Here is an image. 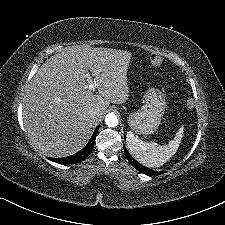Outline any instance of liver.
I'll return each instance as SVG.
<instances>
[{
	"instance_id": "obj_1",
	"label": "liver",
	"mask_w": 225,
	"mask_h": 225,
	"mask_svg": "<svg viewBox=\"0 0 225 225\" xmlns=\"http://www.w3.org/2000/svg\"><path fill=\"white\" fill-rule=\"evenodd\" d=\"M131 56L123 50L72 46L50 57L32 78L23 103L33 148L50 157L80 150L110 103L128 100ZM88 70L99 94L88 89ZM91 111L98 112L96 118Z\"/></svg>"
}]
</instances>
